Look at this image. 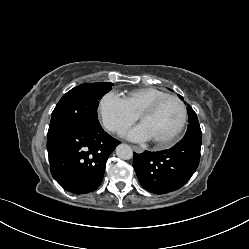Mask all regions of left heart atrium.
<instances>
[{"label": "left heart atrium", "instance_id": "1", "mask_svg": "<svg viewBox=\"0 0 249 249\" xmlns=\"http://www.w3.org/2000/svg\"><path fill=\"white\" fill-rule=\"evenodd\" d=\"M127 138L132 141H136V142H144V141L151 139L142 124L130 130L127 134Z\"/></svg>", "mask_w": 249, "mask_h": 249}]
</instances>
